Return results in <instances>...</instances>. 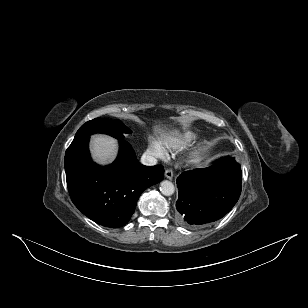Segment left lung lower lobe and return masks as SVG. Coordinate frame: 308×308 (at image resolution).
Here are the masks:
<instances>
[{
  "label": "left lung lower lobe",
  "mask_w": 308,
  "mask_h": 308,
  "mask_svg": "<svg viewBox=\"0 0 308 308\" xmlns=\"http://www.w3.org/2000/svg\"><path fill=\"white\" fill-rule=\"evenodd\" d=\"M241 181V167L230 156L209 168L183 172L177 178L179 221L198 227L222 218L238 201Z\"/></svg>",
  "instance_id": "obj_1"
}]
</instances>
